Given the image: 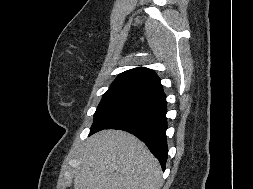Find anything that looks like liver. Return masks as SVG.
<instances>
[{
	"label": "liver",
	"mask_w": 253,
	"mask_h": 189,
	"mask_svg": "<svg viewBox=\"0 0 253 189\" xmlns=\"http://www.w3.org/2000/svg\"><path fill=\"white\" fill-rule=\"evenodd\" d=\"M74 189H160L161 167L132 134L104 130L87 139Z\"/></svg>",
	"instance_id": "1"
}]
</instances>
